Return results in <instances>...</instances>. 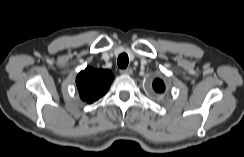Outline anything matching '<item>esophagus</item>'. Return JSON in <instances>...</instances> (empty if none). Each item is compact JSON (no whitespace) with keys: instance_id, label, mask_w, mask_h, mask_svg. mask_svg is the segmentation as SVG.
I'll list each match as a JSON object with an SVG mask.
<instances>
[{"instance_id":"34e87169","label":"esophagus","mask_w":244,"mask_h":157,"mask_svg":"<svg viewBox=\"0 0 244 157\" xmlns=\"http://www.w3.org/2000/svg\"><path fill=\"white\" fill-rule=\"evenodd\" d=\"M121 74L131 75L133 73L132 68L128 67L126 69L120 70Z\"/></svg>"}]
</instances>
